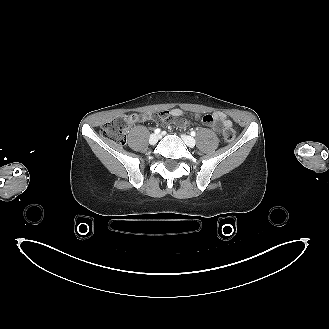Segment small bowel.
Masks as SVG:
<instances>
[{"label":"small bowel","instance_id":"1","mask_svg":"<svg viewBox=\"0 0 329 329\" xmlns=\"http://www.w3.org/2000/svg\"><path fill=\"white\" fill-rule=\"evenodd\" d=\"M182 115H183V111L179 108L165 109L156 114L157 118L163 123L168 122L171 119L177 120ZM132 117H133V121L136 119H139L141 121H147L152 118L151 115L146 114V113L141 114L139 116L134 115ZM195 117H199V116L195 115ZM202 121L204 124H206L207 126L211 127L214 130H219V125H221L225 129L232 128L231 120L223 112H215L212 114H207L202 117ZM177 122L183 127L188 125V123L186 121L177 120Z\"/></svg>","mask_w":329,"mask_h":329}]
</instances>
